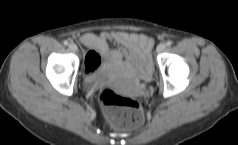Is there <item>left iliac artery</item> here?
<instances>
[{
    "instance_id": "1",
    "label": "left iliac artery",
    "mask_w": 238,
    "mask_h": 145,
    "mask_svg": "<svg viewBox=\"0 0 238 145\" xmlns=\"http://www.w3.org/2000/svg\"><path fill=\"white\" fill-rule=\"evenodd\" d=\"M166 45L169 47V46H171L172 45V41L171 40H168L167 42H166Z\"/></svg>"
}]
</instances>
